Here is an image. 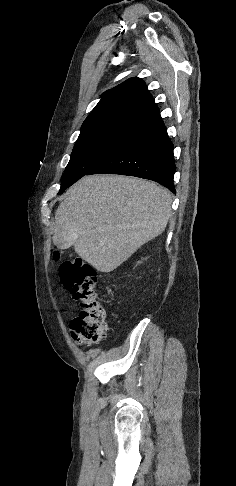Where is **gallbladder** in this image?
I'll return each mask as SVG.
<instances>
[{
	"instance_id": "obj_1",
	"label": "gallbladder",
	"mask_w": 236,
	"mask_h": 486,
	"mask_svg": "<svg viewBox=\"0 0 236 486\" xmlns=\"http://www.w3.org/2000/svg\"><path fill=\"white\" fill-rule=\"evenodd\" d=\"M66 235H67V232L64 231L60 227L55 230L53 241H54V244L59 249H67L71 246L70 243L65 240Z\"/></svg>"
}]
</instances>
